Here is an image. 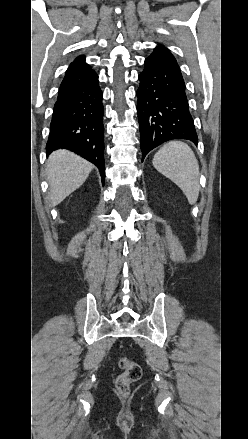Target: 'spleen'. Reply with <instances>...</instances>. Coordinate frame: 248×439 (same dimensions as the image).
I'll list each match as a JSON object with an SVG mask.
<instances>
[{
  "instance_id": "1",
  "label": "spleen",
  "mask_w": 248,
  "mask_h": 439,
  "mask_svg": "<svg viewBox=\"0 0 248 439\" xmlns=\"http://www.w3.org/2000/svg\"><path fill=\"white\" fill-rule=\"evenodd\" d=\"M155 169L173 181L193 205L199 196V164L192 149L184 142L166 143L153 158Z\"/></svg>"
}]
</instances>
